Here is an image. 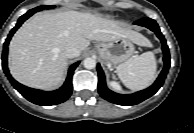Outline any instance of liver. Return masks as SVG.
I'll return each instance as SVG.
<instances>
[{"label":"liver","instance_id":"1","mask_svg":"<svg viewBox=\"0 0 194 133\" xmlns=\"http://www.w3.org/2000/svg\"><path fill=\"white\" fill-rule=\"evenodd\" d=\"M119 38H128L139 46H151L142 34L98 14L39 13L14 34L9 44V70L21 84L36 89H55L65 78L67 58L64 52L68 46L76 47L80 55L91 40L111 42Z\"/></svg>","mask_w":194,"mask_h":133}]
</instances>
